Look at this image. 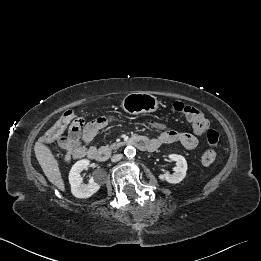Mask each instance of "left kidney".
Wrapping results in <instances>:
<instances>
[{
    "mask_svg": "<svg viewBox=\"0 0 261 261\" xmlns=\"http://www.w3.org/2000/svg\"><path fill=\"white\" fill-rule=\"evenodd\" d=\"M169 159L176 162V167H174V173L169 174H159L158 178L160 180H166L168 183L177 184L181 182L185 176L187 171V162L185 158L178 154H169Z\"/></svg>",
    "mask_w": 261,
    "mask_h": 261,
    "instance_id": "1",
    "label": "left kidney"
}]
</instances>
